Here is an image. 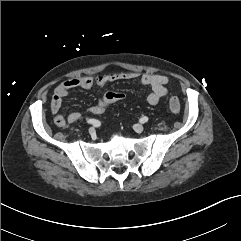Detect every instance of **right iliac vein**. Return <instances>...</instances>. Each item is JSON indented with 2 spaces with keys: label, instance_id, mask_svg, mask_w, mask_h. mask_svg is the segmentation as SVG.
<instances>
[{
  "label": "right iliac vein",
  "instance_id": "obj_1",
  "mask_svg": "<svg viewBox=\"0 0 241 241\" xmlns=\"http://www.w3.org/2000/svg\"><path fill=\"white\" fill-rule=\"evenodd\" d=\"M89 133H90L91 135H93V134L95 133L94 127H90V128H89Z\"/></svg>",
  "mask_w": 241,
  "mask_h": 241
}]
</instances>
